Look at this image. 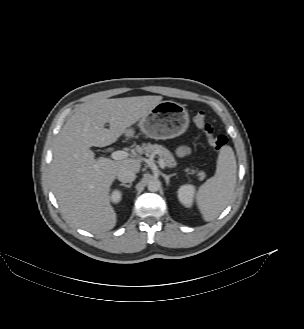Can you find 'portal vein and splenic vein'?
<instances>
[{"label":"portal vein and splenic vein","mask_w":304,"mask_h":329,"mask_svg":"<svg viewBox=\"0 0 304 329\" xmlns=\"http://www.w3.org/2000/svg\"><path fill=\"white\" fill-rule=\"evenodd\" d=\"M128 157H129V153L123 150H117L111 153V158L114 160L127 159ZM159 165L161 168H164L166 166L162 158L159 159Z\"/></svg>","instance_id":"18ae733b"}]
</instances>
